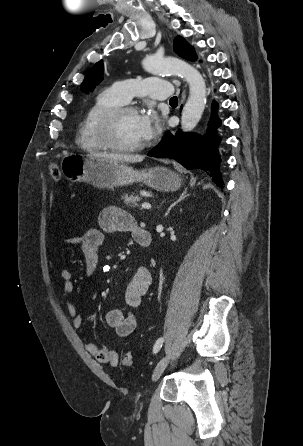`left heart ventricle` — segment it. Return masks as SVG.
<instances>
[{"label":"left heart ventricle","mask_w":303,"mask_h":446,"mask_svg":"<svg viewBox=\"0 0 303 446\" xmlns=\"http://www.w3.org/2000/svg\"><path fill=\"white\" fill-rule=\"evenodd\" d=\"M114 140L120 145H134L144 141L138 126V113L123 114L116 122Z\"/></svg>","instance_id":"1"}]
</instances>
